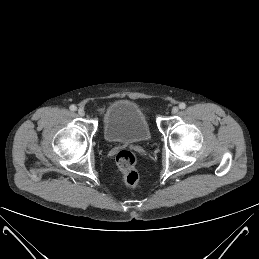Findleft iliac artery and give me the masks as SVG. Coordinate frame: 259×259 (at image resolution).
I'll use <instances>...</instances> for the list:
<instances>
[{"label": "left iliac artery", "instance_id": "1", "mask_svg": "<svg viewBox=\"0 0 259 259\" xmlns=\"http://www.w3.org/2000/svg\"><path fill=\"white\" fill-rule=\"evenodd\" d=\"M179 108H180V109H185V108H186V104H185L184 102H181V103L179 104Z\"/></svg>", "mask_w": 259, "mask_h": 259}]
</instances>
